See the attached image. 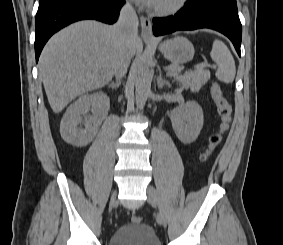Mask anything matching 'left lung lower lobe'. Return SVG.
Segmentation results:
<instances>
[{"instance_id":"obj_1","label":"left lung lower lobe","mask_w":283,"mask_h":245,"mask_svg":"<svg viewBox=\"0 0 283 245\" xmlns=\"http://www.w3.org/2000/svg\"><path fill=\"white\" fill-rule=\"evenodd\" d=\"M199 28H210L223 33L241 56L242 25L237 11L221 7H190L186 4L174 16L153 19V32L156 36Z\"/></svg>"}]
</instances>
